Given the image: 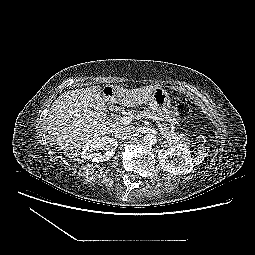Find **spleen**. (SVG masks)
<instances>
[{
	"mask_svg": "<svg viewBox=\"0 0 255 255\" xmlns=\"http://www.w3.org/2000/svg\"><path fill=\"white\" fill-rule=\"evenodd\" d=\"M206 148L208 149V147H204L198 152L197 158L195 159L196 163H199L201 162V160L204 159V157L206 156Z\"/></svg>",
	"mask_w": 255,
	"mask_h": 255,
	"instance_id": "spleen-1",
	"label": "spleen"
}]
</instances>
